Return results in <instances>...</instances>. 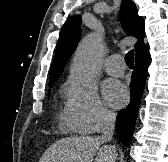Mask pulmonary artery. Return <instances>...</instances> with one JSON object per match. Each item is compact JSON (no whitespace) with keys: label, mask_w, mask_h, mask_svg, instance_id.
<instances>
[{"label":"pulmonary artery","mask_w":168,"mask_h":162,"mask_svg":"<svg viewBox=\"0 0 168 162\" xmlns=\"http://www.w3.org/2000/svg\"><path fill=\"white\" fill-rule=\"evenodd\" d=\"M105 70L108 74L113 76L122 75L125 71V65L122 57L119 54L111 55L105 63Z\"/></svg>","instance_id":"pulmonary-artery-1"}]
</instances>
